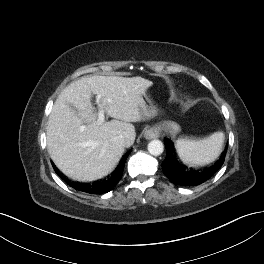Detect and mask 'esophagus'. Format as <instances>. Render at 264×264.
Here are the masks:
<instances>
[{"instance_id": "esophagus-1", "label": "esophagus", "mask_w": 264, "mask_h": 264, "mask_svg": "<svg viewBox=\"0 0 264 264\" xmlns=\"http://www.w3.org/2000/svg\"><path fill=\"white\" fill-rule=\"evenodd\" d=\"M146 139H154L159 137V131L155 127H151L144 132Z\"/></svg>"}]
</instances>
